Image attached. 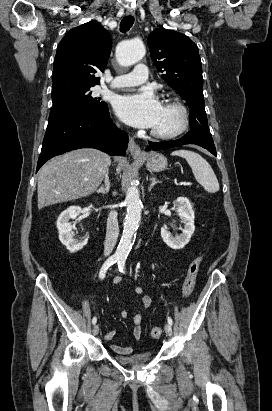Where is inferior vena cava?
Here are the masks:
<instances>
[{
    "label": "inferior vena cava",
    "mask_w": 272,
    "mask_h": 411,
    "mask_svg": "<svg viewBox=\"0 0 272 411\" xmlns=\"http://www.w3.org/2000/svg\"><path fill=\"white\" fill-rule=\"evenodd\" d=\"M119 234V227H118V220H117V212L111 211L109 217L107 219V231H106V238L104 242V255L109 256L117 242Z\"/></svg>",
    "instance_id": "inferior-vena-cava-1"
}]
</instances>
